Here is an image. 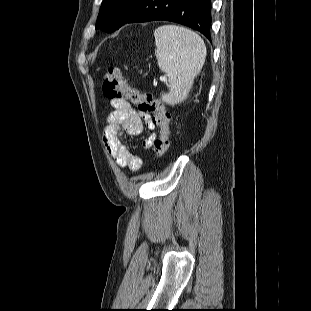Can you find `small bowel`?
<instances>
[{"label": "small bowel", "instance_id": "small-bowel-1", "mask_svg": "<svg viewBox=\"0 0 311 311\" xmlns=\"http://www.w3.org/2000/svg\"><path fill=\"white\" fill-rule=\"evenodd\" d=\"M110 104L113 110L107 117L104 130L107 149L120 167L138 171L142 166V159L128 150L122 136L139 135L147 128L150 134L143 140L142 145L149 149L156 138V124L149 114L139 112L127 101L111 100Z\"/></svg>", "mask_w": 311, "mask_h": 311}]
</instances>
